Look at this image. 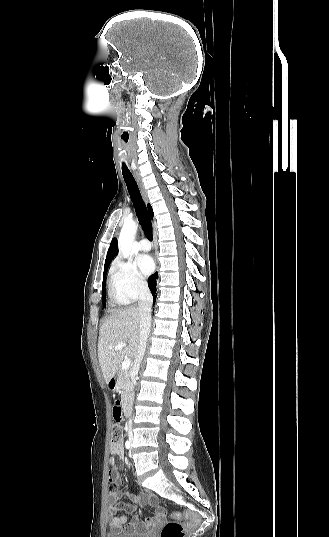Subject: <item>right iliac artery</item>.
Segmentation results:
<instances>
[{
    "label": "right iliac artery",
    "instance_id": "right-iliac-artery-1",
    "mask_svg": "<svg viewBox=\"0 0 329 537\" xmlns=\"http://www.w3.org/2000/svg\"><path fill=\"white\" fill-rule=\"evenodd\" d=\"M125 447H126L127 449H130V442H129L128 440H127L126 443H125Z\"/></svg>",
    "mask_w": 329,
    "mask_h": 537
}]
</instances>
